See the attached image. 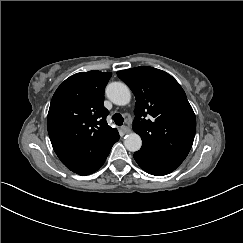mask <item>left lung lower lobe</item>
I'll return each instance as SVG.
<instances>
[{"label":"left lung lower lobe","mask_w":243,"mask_h":243,"mask_svg":"<svg viewBox=\"0 0 243 243\" xmlns=\"http://www.w3.org/2000/svg\"><path fill=\"white\" fill-rule=\"evenodd\" d=\"M134 159L144 171L156 176L169 174L182 163L143 148L134 153Z\"/></svg>","instance_id":"0a47b994"}]
</instances>
